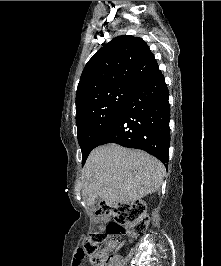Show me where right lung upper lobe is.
Returning <instances> with one entry per match:
<instances>
[{
    "label": "right lung upper lobe",
    "mask_w": 221,
    "mask_h": 266,
    "mask_svg": "<svg viewBox=\"0 0 221 266\" xmlns=\"http://www.w3.org/2000/svg\"><path fill=\"white\" fill-rule=\"evenodd\" d=\"M158 70V63L142 38L115 37L87 62L77 87L76 106L97 90L119 85L136 87Z\"/></svg>",
    "instance_id": "cb5924a9"
}]
</instances>
